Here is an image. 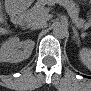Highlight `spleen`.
<instances>
[{
  "mask_svg": "<svg viewBox=\"0 0 91 91\" xmlns=\"http://www.w3.org/2000/svg\"><path fill=\"white\" fill-rule=\"evenodd\" d=\"M79 57L83 64H85L87 67L90 66L91 63V51L87 48H82L79 51Z\"/></svg>",
  "mask_w": 91,
  "mask_h": 91,
  "instance_id": "1",
  "label": "spleen"
}]
</instances>
